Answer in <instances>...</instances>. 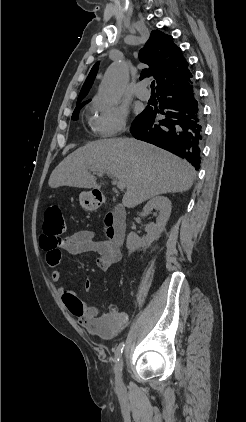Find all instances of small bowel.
Masks as SVG:
<instances>
[{
  "label": "small bowel",
  "instance_id": "small-bowel-1",
  "mask_svg": "<svg viewBox=\"0 0 246 422\" xmlns=\"http://www.w3.org/2000/svg\"><path fill=\"white\" fill-rule=\"evenodd\" d=\"M40 242L46 252L47 264L53 268L51 279L54 283L59 282L62 277L61 270L57 267L61 262L63 251L75 256L86 252L97 253L95 264L102 271H107L121 258L117 245L112 241L97 239L96 234L91 230H80L64 239L44 232ZM90 288L91 283L86 281L85 290L89 291ZM58 292L69 312L93 334L113 337L128 324L127 315L115 307H110L107 312H101L96 305L80 301L73 291L60 287Z\"/></svg>",
  "mask_w": 246,
  "mask_h": 422
}]
</instances>
